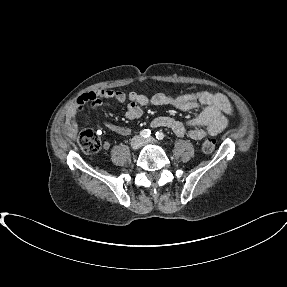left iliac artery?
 Returning <instances> with one entry per match:
<instances>
[{"mask_svg":"<svg viewBox=\"0 0 287 287\" xmlns=\"http://www.w3.org/2000/svg\"><path fill=\"white\" fill-rule=\"evenodd\" d=\"M155 136L158 140H162L164 138V133L158 131Z\"/></svg>","mask_w":287,"mask_h":287,"instance_id":"obj_1","label":"left iliac artery"}]
</instances>
